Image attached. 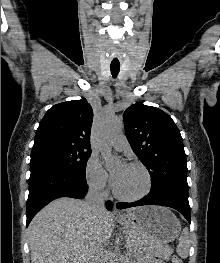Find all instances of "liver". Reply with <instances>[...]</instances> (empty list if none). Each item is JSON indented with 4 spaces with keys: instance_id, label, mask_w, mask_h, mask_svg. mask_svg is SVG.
<instances>
[{
    "instance_id": "1",
    "label": "liver",
    "mask_w": 220,
    "mask_h": 263,
    "mask_svg": "<svg viewBox=\"0 0 220 263\" xmlns=\"http://www.w3.org/2000/svg\"><path fill=\"white\" fill-rule=\"evenodd\" d=\"M113 229V215L106 209L91 215L85 201L56 199L38 212L28 227L31 263H91Z\"/></svg>"
}]
</instances>
